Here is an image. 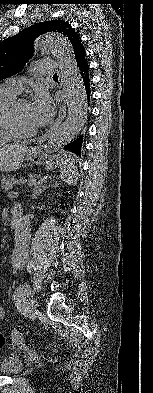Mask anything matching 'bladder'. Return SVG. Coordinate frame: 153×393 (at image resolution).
I'll return each mask as SVG.
<instances>
[{
  "instance_id": "obj_1",
  "label": "bladder",
  "mask_w": 153,
  "mask_h": 393,
  "mask_svg": "<svg viewBox=\"0 0 153 393\" xmlns=\"http://www.w3.org/2000/svg\"><path fill=\"white\" fill-rule=\"evenodd\" d=\"M22 366L14 354L5 356L0 362V373L5 376L20 374Z\"/></svg>"
}]
</instances>
